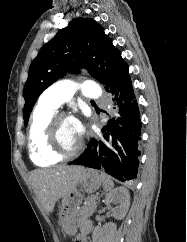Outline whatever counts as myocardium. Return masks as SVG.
Wrapping results in <instances>:
<instances>
[{"mask_svg":"<svg viewBox=\"0 0 187 242\" xmlns=\"http://www.w3.org/2000/svg\"><path fill=\"white\" fill-rule=\"evenodd\" d=\"M65 119H71L70 115L65 112H55L50 118L44 134V141L47 150L54 156H57L61 159H68L75 155H77L82 149L83 142L82 139L79 138V142L77 146L71 151H63L57 146L56 142V128L60 121Z\"/></svg>","mask_w":187,"mask_h":242,"instance_id":"f54148a6","label":"myocardium"}]
</instances>
